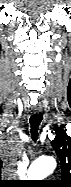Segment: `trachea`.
<instances>
[{
  "mask_svg": "<svg viewBox=\"0 0 71 187\" xmlns=\"http://www.w3.org/2000/svg\"><path fill=\"white\" fill-rule=\"evenodd\" d=\"M43 119L42 113L32 114L30 117V124H31V137L33 141H37L38 139V128Z\"/></svg>",
  "mask_w": 71,
  "mask_h": 187,
  "instance_id": "3493384b",
  "label": "trachea"
}]
</instances>
